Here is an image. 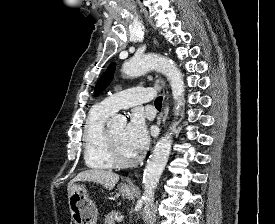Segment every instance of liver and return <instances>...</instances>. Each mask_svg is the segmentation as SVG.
Instances as JSON below:
<instances>
[{"label": "liver", "instance_id": "1", "mask_svg": "<svg viewBox=\"0 0 275 224\" xmlns=\"http://www.w3.org/2000/svg\"><path fill=\"white\" fill-rule=\"evenodd\" d=\"M88 181L103 185L106 189L112 190L116 183L119 181V175L112 171L103 169H89L80 172L72 181L68 184V193L70 194L71 187L74 182Z\"/></svg>", "mask_w": 275, "mask_h": 224}]
</instances>
